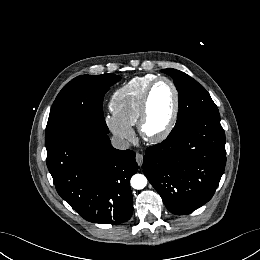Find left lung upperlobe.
I'll return each instance as SVG.
<instances>
[{
  "label": "left lung upper lobe",
  "mask_w": 260,
  "mask_h": 260,
  "mask_svg": "<svg viewBox=\"0 0 260 260\" xmlns=\"http://www.w3.org/2000/svg\"><path fill=\"white\" fill-rule=\"evenodd\" d=\"M162 72L174 79L179 92V111L176 124L171 131L174 133L193 119L204 115H219L217 106L209 93L196 80L179 70L168 68Z\"/></svg>",
  "instance_id": "1"
}]
</instances>
